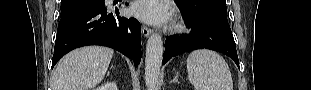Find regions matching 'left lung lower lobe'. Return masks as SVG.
<instances>
[{
    "instance_id": "obj_1",
    "label": "left lung lower lobe",
    "mask_w": 311,
    "mask_h": 90,
    "mask_svg": "<svg viewBox=\"0 0 311 90\" xmlns=\"http://www.w3.org/2000/svg\"><path fill=\"white\" fill-rule=\"evenodd\" d=\"M204 48L229 56L239 66L235 41L230 27L211 20L191 22V32L188 35L167 39L162 64L174 56Z\"/></svg>"
}]
</instances>
